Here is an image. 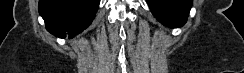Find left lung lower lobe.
Returning <instances> with one entry per match:
<instances>
[{"instance_id":"left-lung-lower-lobe-1","label":"left lung lower lobe","mask_w":244,"mask_h":73,"mask_svg":"<svg viewBox=\"0 0 244 73\" xmlns=\"http://www.w3.org/2000/svg\"><path fill=\"white\" fill-rule=\"evenodd\" d=\"M147 3L160 23L175 28L185 24L192 0H147Z\"/></svg>"}]
</instances>
